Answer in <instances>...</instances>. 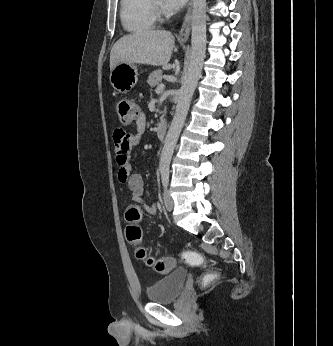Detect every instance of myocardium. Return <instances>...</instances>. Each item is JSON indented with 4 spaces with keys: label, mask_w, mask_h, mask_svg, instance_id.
<instances>
[{
    "label": "myocardium",
    "mask_w": 333,
    "mask_h": 346,
    "mask_svg": "<svg viewBox=\"0 0 333 346\" xmlns=\"http://www.w3.org/2000/svg\"><path fill=\"white\" fill-rule=\"evenodd\" d=\"M151 3H152V6H153V9H154L155 16L161 18L162 10L160 8L159 3H157L156 0H151Z\"/></svg>",
    "instance_id": "myocardium-1"
}]
</instances>
